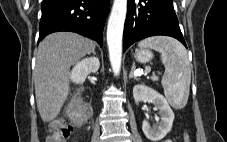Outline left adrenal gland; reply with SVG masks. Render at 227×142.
I'll list each match as a JSON object with an SVG mask.
<instances>
[{
    "mask_svg": "<svg viewBox=\"0 0 227 142\" xmlns=\"http://www.w3.org/2000/svg\"><path fill=\"white\" fill-rule=\"evenodd\" d=\"M134 70H135V63L133 62L132 67H131V71L129 74V79L134 78L136 80H139V78L134 74Z\"/></svg>",
    "mask_w": 227,
    "mask_h": 142,
    "instance_id": "left-adrenal-gland-1",
    "label": "left adrenal gland"
}]
</instances>
